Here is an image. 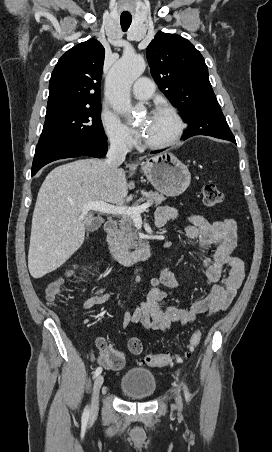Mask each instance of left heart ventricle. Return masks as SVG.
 I'll return each instance as SVG.
<instances>
[{"label": "left heart ventricle", "mask_w": 272, "mask_h": 452, "mask_svg": "<svg viewBox=\"0 0 272 452\" xmlns=\"http://www.w3.org/2000/svg\"><path fill=\"white\" fill-rule=\"evenodd\" d=\"M143 138L148 142H161L174 130L173 120L164 113H155L142 121Z\"/></svg>", "instance_id": "1"}]
</instances>
